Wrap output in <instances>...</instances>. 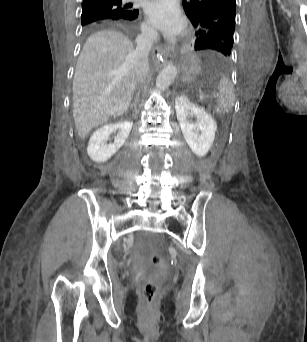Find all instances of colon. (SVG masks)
Returning a JSON list of instances; mask_svg holds the SVG:
<instances>
[{"label": "colon", "mask_w": 307, "mask_h": 342, "mask_svg": "<svg viewBox=\"0 0 307 342\" xmlns=\"http://www.w3.org/2000/svg\"><path fill=\"white\" fill-rule=\"evenodd\" d=\"M151 268L147 269V281H143L141 288L142 307H157V288H162L160 276H166L168 266L166 261H161L157 255H151Z\"/></svg>", "instance_id": "1"}]
</instances>
